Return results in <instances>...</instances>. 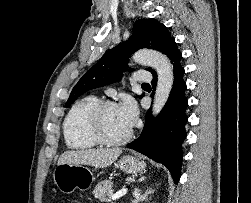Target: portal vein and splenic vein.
I'll use <instances>...</instances> for the list:
<instances>
[{
  "label": "portal vein and splenic vein",
  "mask_w": 251,
  "mask_h": 203,
  "mask_svg": "<svg viewBox=\"0 0 251 203\" xmlns=\"http://www.w3.org/2000/svg\"><path fill=\"white\" fill-rule=\"evenodd\" d=\"M127 193V189H121L119 191H117L115 194H113L109 200H116V199H119L121 198L122 196H124L125 194Z\"/></svg>",
  "instance_id": "1"
}]
</instances>
